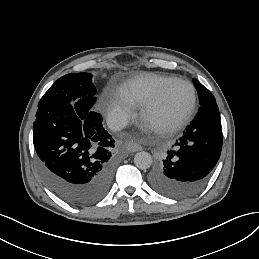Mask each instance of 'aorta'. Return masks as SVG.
<instances>
[{"label":"aorta","instance_id":"1","mask_svg":"<svg viewBox=\"0 0 259 259\" xmlns=\"http://www.w3.org/2000/svg\"><path fill=\"white\" fill-rule=\"evenodd\" d=\"M134 163L139 169H148L152 164V157L148 152H138L134 157Z\"/></svg>","mask_w":259,"mask_h":259}]
</instances>
